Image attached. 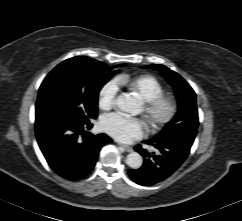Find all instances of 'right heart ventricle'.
I'll list each match as a JSON object with an SVG mask.
<instances>
[{"instance_id":"right-heart-ventricle-1","label":"right heart ventricle","mask_w":242,"mask_h":221,"mask_svg":"<svg viewBox=\"0 0 242 221\" xmlns=\"http://www.w3.org/2000/svg\"><path fill=\"white\" fill-rule=\"evenodd\" d=\"M115 81L118 86L127 87L143 100L151 99L164 92L162 84L154 76L148 74L135 76L120 74L116 77Z\"/></svg>"}]
</instances>
